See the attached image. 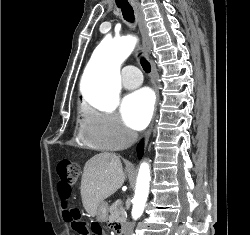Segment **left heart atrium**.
I'll list each match as a JSON object with an SVG mask.
<instances>
[{
    "mask_svg": "<svg viewBox=\"0 0 250 235\" xmlns=\"http://www.w3.org/2000/svg\"><path fill=\"white\" fill-rule=\"evenodd\" d=\"M154 97L150 90L140 89L127 95L121 103L125 123L134 130L143 129L151 119Z\"/></svg>",
    "mask_w": 250,
    "mask_h": 235,
    "instance_id": "39dd6f15",
    "label": "left heart atrium"
}]
</instances>
